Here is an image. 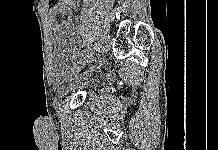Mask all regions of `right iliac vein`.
I'll return each mask as SVG.
<instances>
[{
  "label": "right iliac vein",
  "mask_w": 218,
  "mask_h": 150,
  "mask_svg": "<svg viewBox=\"0 0 218 150\" xmlns=\"http://www.w3.org/2000/svg\"><path fill=\"white\" fill-rule=\"evenodd\" d=\"M106 40H107V39H106ZM98 44L101 46L103 43L100 41ZM94 47H95V46L92 44V45L90 46V48L86 50V52H85V57H84V61H83L84 63L86 62L85 58H86V57H90V54L92 53V50H93ZM82 56H84V55H82Z\"/></svg>",
  "instance_id": "63e3f726"
}]
</instances>
